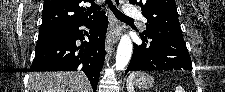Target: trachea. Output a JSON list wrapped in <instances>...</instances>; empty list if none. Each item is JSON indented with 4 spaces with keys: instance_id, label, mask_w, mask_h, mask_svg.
I'll return each mask as SVG.
<instances>
[{
    "instance_id": "1",
    "label": "trachea",
    "mask_w": 225,
    "mask_h": 92,
    "mask_svg": "<svg viewBox=\"0 0 225 92\" xmlns=\"http://www.w3.org/2000/svg\"><path fill=\"white\" fill-rule=\"evenodd\" d=\"M106 4L108 5V7L110 8V10L114 13V15L117 18H121V19H131L128 16H126L125 14H123L122 12H120L116 6L113 5V3L111 2V0H106Z\"/></svg>"
}]
</instances>
